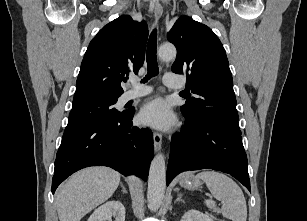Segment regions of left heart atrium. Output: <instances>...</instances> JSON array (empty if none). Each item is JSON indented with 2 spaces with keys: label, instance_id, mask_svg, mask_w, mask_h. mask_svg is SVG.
<instances>
[{
  "label": "left heart atrium",
  "instance_id": "1",
  "mask_svg": "<svg viewBox=\"0 0 307 221\" xmlns=\"http://www.w3.org/2000/svg\"><path fill=\"white\" fill-rule=\"evenodd\" d=\"M139 118L143 124L159 130H167L174 123V116L168 103L161 98L147 103L141 109Z\"/></svg>",
  "mask_w": 307,
  "mask_h": 221
}]
</instances>
